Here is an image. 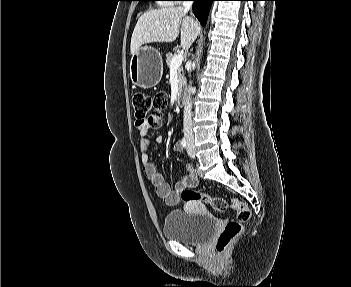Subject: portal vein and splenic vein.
I'll return each instance as SVG.
<instances>
[{
    "label": "portal vein and splenic vein",
    "instance_id": "1",
    "mask_svg": "<svg viewBox=\"0 0 351 287\" xmlns=\"http://www.w3.org/2000/svg\"><path fill=\"white\" fill-rule=\"evenodd\" d=\"M183 61V53L176 54L171 61L170 69H177Z\"/></svg>",
    "mask_w": 351,
    "mask_h": 287
}]
</instances>
